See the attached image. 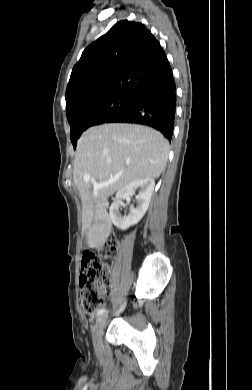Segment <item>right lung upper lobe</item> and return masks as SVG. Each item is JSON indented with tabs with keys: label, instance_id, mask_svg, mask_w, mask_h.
<instances>
[{
	"label": "right lung upper lobe",
	"instance_id": "cb5924a9",
	"mask_svg": "<svg viewBox=\"0 0 252 390\" xmlns=\"http://www.w3.org/2000/svg\"><path fill=\"white\" fill-rule=\"evenodd\" d=\"M171 73L153 34L141 23L120 21L83 51L67 86L66 111L111 95H135Z\"/></svg>",
	"mask_w": 252,
	"mask_h": 390
}]
</instances>
